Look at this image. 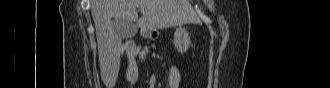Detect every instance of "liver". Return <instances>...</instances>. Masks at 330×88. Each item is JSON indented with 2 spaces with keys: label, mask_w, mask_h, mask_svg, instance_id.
<instances>
[{
  "label": "liver",
  "mask_w": 330,
  "mask_h": 88,
  "mask_svg": "<svg viewBox=\"0 0 330 88\" xmlns=\"http://www.w3.org/2000/svg\"><path fill=\"white\" fill-rule=\"evenodd\" d=\"M142 17L138 19L136 8ZM91 14L94 20L98 44L100 73L107 88H113L120 69L122 37L114 28L116 20L137 21L141 35L153 30L181 26L198 21L188 0H92Z\"/></svg>",
  "instance_id": "obj_1"
}]
</instances>
